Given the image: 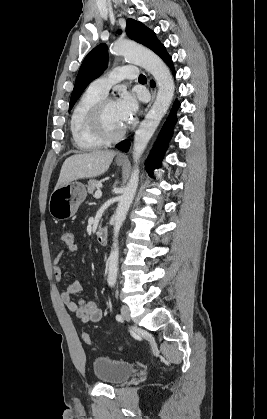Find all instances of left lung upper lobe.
Segmentation results:
<instances>
[{"mask_svg": "<svg viewBox=\"0 0 267 419\" xmlns=\"http://www.w3.org/2000/svg\"><path fill=\"white\" fill-rule=\"evenodd\" d=\"M118 33H120V31H118ZM126 33L131 39L150 48L156 54H158L164 46L157 40L153 31L134 19H127ZM107 62L108 51L106 44L102 43L88 53L76 78L70 100V109L74 106L88 84L99 77L107 68Z\"/></svg>", "mask_w": 267, "mask_h": 419, "instance_id": "1", "label": "left lung upper lobe"}]
</instances>
